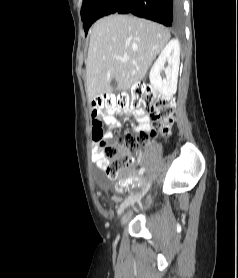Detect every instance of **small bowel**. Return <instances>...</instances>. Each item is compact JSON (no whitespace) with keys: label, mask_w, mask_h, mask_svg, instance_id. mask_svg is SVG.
<instances>
[{"label":"small bowel","mask_w":238,"mask_h":278,"mask_svg":"<svg viewBox=\"0 0 238 278\" xmlns=\"http://www.w3.org/2000/svg\"><path fill=\"white\" fill-rule=\"evenodd\" d=\"M126 117L130 115H134L137 120L138 124H133L132 128L136 131H149L150 130V118L148 114L144 112H135L132 110H128L125 113ZM124 118V114L121 110L115 108L112 110H108L102 113L101 120L102 123L111 127L112 129H118L121 124L122 120ZM110 138H112V133H106L103 135L102 140H96L95 145L93 147L92 152V158L98 168H103V150L101 147V141H108ZM126 182L121 180L117 185V190L122 191L126 187Z\"/></svg>","instance_id":"1"}]
</instances>
